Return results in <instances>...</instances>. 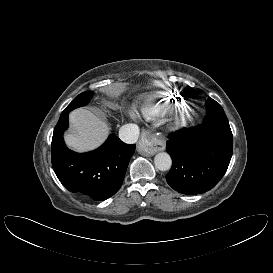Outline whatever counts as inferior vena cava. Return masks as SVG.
Here are the masks:
<instances>
[{"instance_id": "obj_1", "label": "inferior vena cava", "mask_w": 273, "mask_h": 273, "mask_svg": "<svg viewBox=\"0 0 273 273\" xmlns=\"http://www.w3.org/2000/svg\"><path fill=\"white\" fill-rule=\"evenodd\" d=\"M139 127L136 124H125L119 129V138L128 144L137 142L139 137Z\"/></svg>"}]
</instances>
